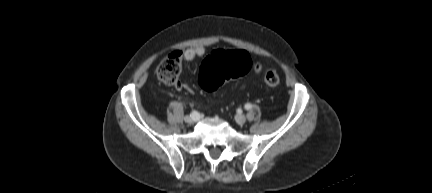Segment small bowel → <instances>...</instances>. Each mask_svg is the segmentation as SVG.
Instances as JSON below:
<instances>
[{"label": "small bowel", "instance_id": "small-bowel-1", "mask_svg": "<svg viewBox=\"0 0 432 193\" xmlns=\"http://www.w3.org/2000/svg\"><path fill=\"white\" fill-rule=\"evenodd\" d=\"M206 50L203 46L192 47L183 52V58L185 61H193L197 58L202 57L205 54ZM253 71L255 73H260L262 68L258 63L253 64ZM177 89H181L182 85L180 83L176 84Z\"/></svg>", "mask_w": 432, "mask_h": 193}]
</instances>
